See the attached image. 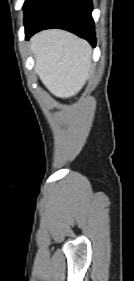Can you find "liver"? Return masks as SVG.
<instances>
[{"label":"liver","instance_id":"obj_1","mask_svg":"<svg viewBox=\"0 0 134 281\" xmlns=\"http://www.w3.org/2000/svg\"><path fill=\"white\" fill-rule=\"evenodd\" d=\"M35 71L56 97L69 98L84 86L91 69L89 43L63 30L37 33L30 41Z\"/></svg>","mask_w":134,"mask_h":281}]
</instances>
